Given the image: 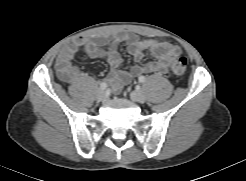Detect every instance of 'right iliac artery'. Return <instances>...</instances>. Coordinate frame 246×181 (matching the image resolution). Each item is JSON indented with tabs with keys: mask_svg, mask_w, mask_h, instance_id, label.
<instances>
[{
	"mask_svg": "<svg viewBox=\"0 0 246 181\" xmlns=\"http://www.w3.org/2000/svg\"><path fill=\"white\" fill-rule=\"evenodd\" d=\"M107 88V84L105 82L100 83V89L105 90Z\"/></svg>",
	"mask_w": 246,
	"mask_h": 181,
	"instance_id": "obj_1",
	"label": "right iliac artery"
}]
</instances>
